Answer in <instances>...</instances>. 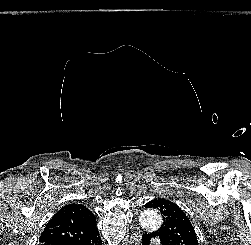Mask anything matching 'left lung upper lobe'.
<instances>
[{
  "mask_svg": "<svg viewBox=\"0 0 251 245\" xmlns=\"http://www.w3.org/2000/svg\"><path fill=\"white\" fill-rule=\"evenodd\" d=\"M145 207L158 209L163 216V224L155 233L166 238L172 245H198L190 220L175 203L156 198L146 203Z\"/></svg>",
  "mask_w": 251,
  "mask_h": 245,
  "instance_id": "5c2ea615",
  "label": "left lung upper lobe"
}]
</instances>
